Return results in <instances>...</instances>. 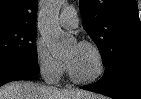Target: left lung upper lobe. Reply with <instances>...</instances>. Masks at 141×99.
I'll return each instance as SVG.
<instances>
[{
	"label": "left lung upper lobe",
	"mask_w": 141,
	"mask_h": 99,
	"mask_svg": "<svg viewBox=\"0 0 141 99\" xmlns=\"http://www.w3.org/2000/svg\"><path fill=\"white\" fill-rule=\"evenodd\" d=\"M80 11L105 72L122 61H141V24L135 0H80Z\"/></svg>",
	"instance_id": "left-lung-upper-lobe-1"
}]
</instances>
